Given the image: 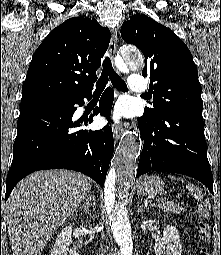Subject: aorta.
Wrapping results in <instances>:
<instances>
[{"instance_id": "aorta-1", "label": "aorta", "mask_w": 221, "mask_h": 255, "mask_svg": "<svg viewBox=\"0 0 221 255\" xmlns=\"http://www.w3.org/2000/svg\"><path fill=\"white\" fill-rule=\"evenodd\" d=\"M119 66L121 68L129 66L132 69L140 70L144 67V59L136 48L125 47L121 50ZM141 150V141L136 136H127L118 148L115 164L108 172L104 186L108 219L113 238L120 247L121 255L133 254L127 199L136 176L137 160Z\"/></svg>"}]
</instances>
